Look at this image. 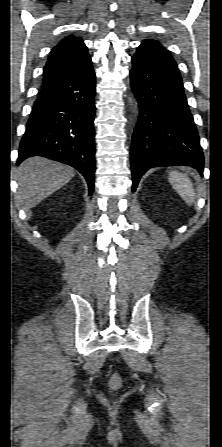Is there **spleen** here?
<instances>
[{
  "mask_svg": "<svg viewBox=\"0 0 222 447\" xmlns=\"http://www.w3.org/2000/svg\"><path fill=\"white\" fill-rule=\"evenodd\" d=\"M169 182L176 190V192L181 196V198L188 205H192V203L195 201V191L192 182L187 177V175L175 170L171 171L169 173Z\"/></svg>",
  "mask_w": 222,
  "mask_h": 447,
  "instance_id": "1",
  "label": "spleen"
}]
</instances>
